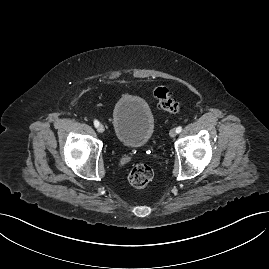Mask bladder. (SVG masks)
I'll use <instances>...</instances> for the list:
<instances>
[{
  "instance_id": "bladder-1",
  "label": "bladder",
  "mask_w": 269,
  "mask_h": 269,
  "mask_svg": "<svg viewBox=\"0 0 269 269\" xmlns=\"http://www.w3.org/2000/svg\"><path fill=\"white\" fill-rule=\"evenodd\" d=\"M112 128L119 143L128 147H140L151 140L155 118L143 98L125 94L114 105Z\"/></svg>"
}]
</instances>
